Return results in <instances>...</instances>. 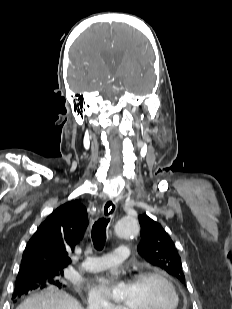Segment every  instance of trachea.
I'll return each mask as SVG.
<instances>
[{"instance_id":"obj_1","label":"trachea","mask_w":232,"mask_h":309,"mask_svg":"<svg viewBox=\"0 0 232 309\" xmlns=\"http://www.w3.org/2000/svg\"><path fill=\"white\" fill-rule=\"evenodd\" d=\"M110 219L100 218L92 227V241L97 250L103 249L106 241V228Z\"/></svg>"}]
</instances>
